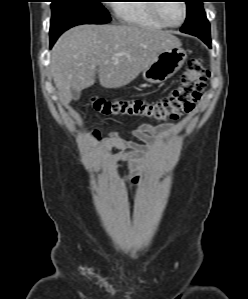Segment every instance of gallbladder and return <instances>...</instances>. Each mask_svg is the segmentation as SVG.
<instances>
[{
  "instance_id": "gallbladder-1",
  "label": "gallbladder",
  "mask_w": 248,
  "mask_h": 299,
  "mask_svg": "<svg viewBox=\"0 0 248 299\" xmlns=\"http://www.w3.org/2000/svg\"><path fill=\"white\" fill-rule=\"evenodd\" d=\"M72 96H73L74 100H79V98L81 96V92L80 91L72 90Z\"/></svg>"
}]
</instances>
